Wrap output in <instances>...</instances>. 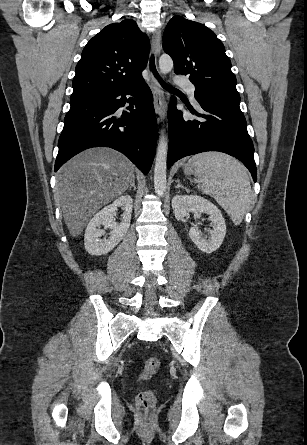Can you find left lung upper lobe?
Instances as JSON below:
<instances>
[{
	"instance_id": "1",
	"label": "left lung upper lobe",
	"mask_w": 307,
	"mask_h": 445,
	"mask_svg": "<svg viewBox=\"0 0 307 445\" xmlns=\"http://www.w3.org/2000/svg\"><path fill=\"white\" fill-rule=\"evenodd\" d=\"M163 48L176 74H189L195 99L239 108L240 95L222 42L201 23L174 16L166 26Z\"/></svg>"
}]
</instances>
